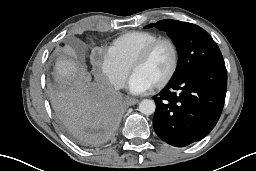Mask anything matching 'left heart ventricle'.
<instances>
[{
  "label": "left heart ventricle",
  "instance_id": "b2bd125f",
  "mask_svg": "<svg viewBox=\"0 0 256 171\" xmlns=\"http://www.w3.org/2000/svg\"><path fill=\"white\" fill-rule=\"evenodd\" d=\"M172 50L168 44H160L149 58L136 66L133 73L140 75L152 86L159 83L170 71L172 66Z\"/></svg>",
  "mask_w": 256,
  "mask_h": 171
}]
</instances>
